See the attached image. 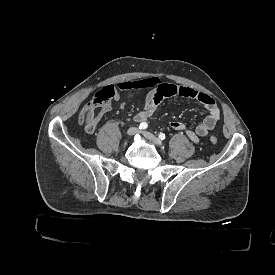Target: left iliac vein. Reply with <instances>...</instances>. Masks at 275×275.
<instances>
[{
    "mask_svg": "<svg viewBox=\"0 0 275 275\" xmlns=\"http://www.w3.org/2000/svg\"><path fill=\"white\" fill-rule=\"evenodd\" d=\"M142 134L147 140L153 142L155 145L162 146V141L154 136L152 133L148 131H143Z\"/></svg>",
    "mask_w": 275,
    "mask_h": 275,
    "instance_id": "obj_1",
    "label": "left iliac vein"
}]
</instances>
